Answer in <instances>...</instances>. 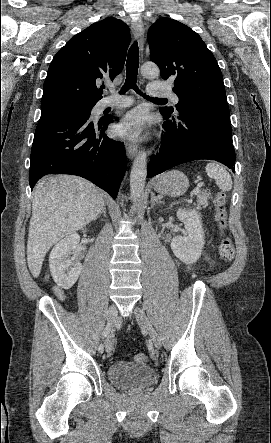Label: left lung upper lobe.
<instances>
[{"instance_id": "5c2ea615", "label": "left lung upper lobe", "mask_w": 271, "mask_h": 443, "mask_svg": "<svg viewBox=\"0 0 271 443\" xmlns=\"http://www.w3.org/2000/svg\"><path fill=\"white\" fill-rule=\"evenodd\" d=\"M150 59L160 68L161 77L174 80L179 96L177 111L192 109L202 98L227 102L218 63L201 37L188 26L170 19L157 20L148 31ZM174 112L173 108H161Z\"/></svg>"}]
</instances>
